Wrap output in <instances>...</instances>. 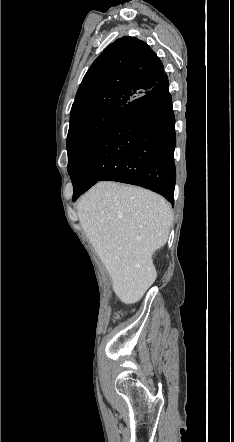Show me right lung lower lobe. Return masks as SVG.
Masks as SVG:
<instances>
[{
	"label": "right lung lower lobe",
	"instance_id": "right-lung-lower-lobe-1",
	"mask_svg": "<svg viewBox=\"0 0 234 442\" xmlns=\"http://www.w3.org/2000/svg\"><path fill=\"white\" fill-rule=\"evenodd\" d=\"M175 117L164 74L147 93L120 108L104 134L74 168L73 201L101 180L155 191L174 204Z\"/></svg>",
	"mask_w": 234,
	"mask_h": 442
}]
</instances>
